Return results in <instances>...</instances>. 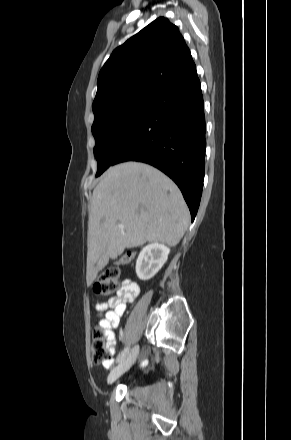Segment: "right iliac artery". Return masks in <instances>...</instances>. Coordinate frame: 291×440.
I'll use <instances>...</instances> for the list:
<instances>
[{"instance_id":"obj_1","label":"right iliac artery","mask_w":291,"mask_h":440,"mask_svg":"<svg viewBox=\"0 0 291 440\" xmlns=\"http://www.w3.org/2000/svg\"><path fill=\"white\" fill-rule=\"evenodd\" d=\"M129 353V348L128 347H126L119 355H118V357H117V359H116V362H121L125 357H126V355Z\"/></svg>"}]
</instances>
